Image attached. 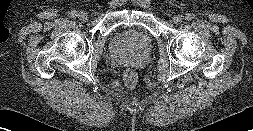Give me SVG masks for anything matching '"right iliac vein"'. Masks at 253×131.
Listing matches in <instances>:
<instances>
[{
    "instance_id": "obj_1",
    "label": "right iliac vein",
    "mask_w": 253,
    "mask_h": 131,
    "mask_svg": "<svg viewBox=\"0 0 253 131\" xmlns=\"http://www.w3.org/2000/svg\"><path fill=\"white\" fill-rule=\"evenodd\" d=\"M78 18L81 20V21H87L88 20V15H87V13H85V12H80L79 14H78Z\"/></svg>"
}]
</instances>
